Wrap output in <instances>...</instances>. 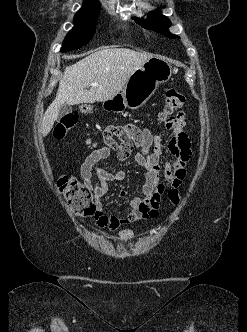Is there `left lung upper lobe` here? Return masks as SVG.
Segmentation results:
<instances>
[{"mask_svg":"<svg viewBox=\"0 0 247 332\" xmlns=\"http://www.w3.org/2000/svg\"><path fill=\"white\" fill-rule=\"evenodd\" d=\"M149 19V21H144L142 19H135V21L147 29H152L156 32L164 33L169 38L177 37L176 35L168 32L167 29L171 24L170 20L166 16L162 15L159 10L150 12Z\"/></svg>","mask_w":247,"mask_h":332,"instance_id":"obj_1","label":"left lung upper lobe"}]
</instances>
